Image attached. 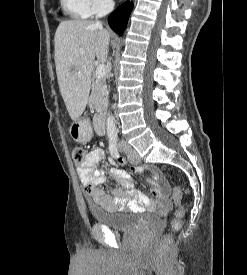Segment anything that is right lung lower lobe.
<instances>
[{
	"instance_id": "98d812e1",
	"label": "right lung lower lobe",
	"mask_w": 247,
	"mask_h": 275,
	"mask_svg": "<svg viewBox=\"0 0 247 275\" xmlns=\"http://www.w3.org/2000/svg\"><path fill=\"white\" fill-rule=\"evenodd\" d=\"M132 7L133 4L129 1H126L108 17V23L110 27L117 34L122 35L123 31L125 30L129 15L132 11Z\"/></svg>"
}]
</instances>
